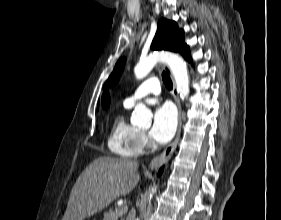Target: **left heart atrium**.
Wrapping results in <instances>:
<instances>
[{
  "mask_svg": "<svg viewBox=\"0 0 281 220\" xmlns=\"http://www.w3.org/2000/svg\"><path fill=\"white\" fill-rule=\"evenodd\" d=\"M177 122V115L172 106H160L154 113L151 138L160 144L167 143L176 132Z\"/></svg>",
  "mask_w": 281,
  "mask_h": 220,
  "instance_id": "1",
  "label": "left heart atrium"
}]
</instances>
